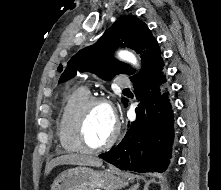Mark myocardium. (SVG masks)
<instances>
[{"instance_id":"f54148a6","label":"myocardium","mask_w":221,"mask_h":190,"mask_svg":"<svg viewBox=\"0 0 221 190\" xmlns=\"http://www.w3.org/2000/svg\"><path fill=\"white\" fill-rule=\"evenodd\" d=\"M95 105H105L113 111L110 101L104 97H89L76 110L71 123V134L79 151L87 153H97L112 147L120 134V124L115 118L113 133L108 141L98 146H90L85 139L84 128L86 117L90 109Z\"/></svg>"}]
</instances>
